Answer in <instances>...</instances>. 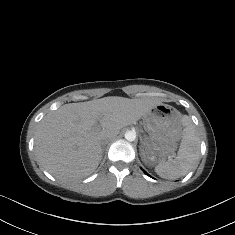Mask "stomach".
I'll list each match as a JSON object with an SVG mask.
<instances>
[{
  "mask_svg": "<svg viewBox=\"0 0 235 235\" xmlns=\"http://www.w3.org/2000/svg\"><path fill=\"white\" fill-rule=\"evenodd\" d=\"M144 130L141 159L148 167L170 160L183 136V116L168 104H159L142 117Z\"/></svg>",
  "mask_w": 235,
  "mask_h": 235,
  "instance_id": "0dacf381",
  "label": "stomach"
}]
</instances>
